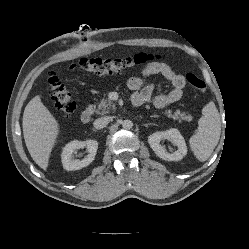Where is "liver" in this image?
<instances>
[{
	"mask_svg": "<svg viewBox=\"0 0 249 249\" xmlns=\"http://www.w3.org/2000/svg\"><path fill=\"white\" fill-rule=\"evenodd\" d=\"M22 125L24 140L32 159L40 168L46 170L59 133V124L43 105L39 95L26 105Z\"/></svg>",
	"mask_w": 249,
	"mask_h": 249,
	"instance_id": "1",
	"label": "liver"
}]
</instances>
